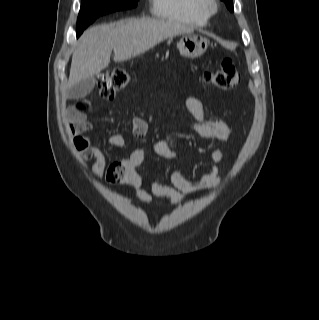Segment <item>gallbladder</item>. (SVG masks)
<instances>
[{
    "instance_id": "1",
    "label": "gallbladder",
    "mask_w": 319,
    "mask_h": 320,
    "mask_svg": "<svg viewBox=\"0 0 319 320\" xmlns=\"http://www.w3.org/2000/svg\"><path fill=\"white\" fill-rule=\"evenodd\" d=\"M95 86V78L88 77L81 80L79 83L73 85L67 91V97L69 99H78L87 96Z\"/></svg>"
}]
</instances>
